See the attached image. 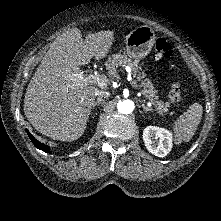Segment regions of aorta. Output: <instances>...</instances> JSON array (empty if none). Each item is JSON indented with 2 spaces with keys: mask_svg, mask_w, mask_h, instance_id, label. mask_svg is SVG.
Instances as JSON below:
<instances>
[{
  "mask_svg": "<svg viewBox=\"0 0 221 221\" xmlns=\"http://www.w3.org/2000/svg\"><path fill=\"white\" fill-rule=\"evenodd\" d=\"M135 108L134 102L131 100L119 101L117 104V109L122 114H130Z\"/></svg>",
  "mask_w": 221,
  "mask_h": 221,
  "instance_id": "762f6f07",
  "label": "aorta"
}]
</instances>
